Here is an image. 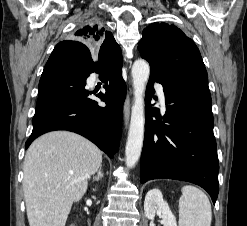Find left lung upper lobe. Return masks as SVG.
<instances>
[{"instance_id": "1", "label": "left lung upper lobe", "mask_w": 247, "mask_h": 226, "mask_svg": "<svg viewBox=\"0 0 247 226\" xmlns=\"http://www.w3.org/2000/svg\"><path fill=\"white\" fill-rule=\"evenodd\" d=\"M138 50L141 57L149 62L151 73L163 78H173L183 73L207 76L194 41L174 25L155 22L145 28Z\"/></svg>"}]
</instances>
